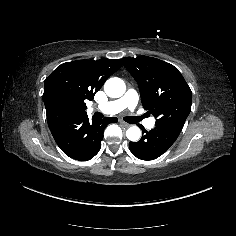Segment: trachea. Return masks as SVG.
I'll return each mask as SVG.
<instances>
[{
  "mask_svg": "<svg viewBox=\"0 0 236 236\" xmlns=\"http://www.w3.org/2000/svg\"><path fill=\"white\" fill-rule=\"evenodd\" d=\"M143 117H130V116H125L123 117V120L126 121L127 123L131 124H136L138 123Z\"/></svg>",
  "mask_w": 236,
  "mask_h": 236,
  "instance_id": "obj_1",
  "label": "trachea"
}]
</instances>
